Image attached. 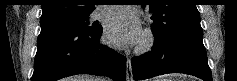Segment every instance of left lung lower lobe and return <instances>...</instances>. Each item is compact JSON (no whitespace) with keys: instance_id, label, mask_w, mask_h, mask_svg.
I'll return each instance as SVG.
<instances>
[{"instance_id":"0a47b994","label":"left lung lower lobe","mask_w":237,"mask_h":81,"mask_svg":"<svg viewBox=\"0 0 237 81\" xmlns=\"http://www.w3.org/2000/svg\"><path fill=\"white\" fill-rule=\"evenodd\" d=\"M135 80H143L167 73H184L204 81H212L203 31L178 32L155 41L152 50L131 60Z\"/></svg>"}]
</instances>
